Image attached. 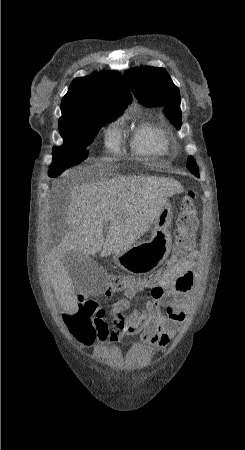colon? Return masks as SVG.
Listing matches in <instances>:
<instances>
[{
	"mask_svg": "<svg viewBox=\"0 0 245 450\" xmlns=\"http://www.w3.org/2000/svg\"><path fill=\"white\" fill-rule=\"evenodd\" d=\"M196 197V192L189 190L180 201V213L175 231L173 262L183 261L200 242L195 236L197 228ZM146 280L153 281L150 277ZM138 281L140 279L118 274L110 278L109 285L115 291H122L135 287ZM158 287L160 286L158 285ZM163 291V288L160 287L159 292L162 293ZM79 298L82 302L78 304L75 313L65 319V326L68 332L77 340L92 341L96 336L95 326L100 323L105 311L93 299H89L82 294H79Z\"/></svg>",
	"mask_w": 245,
	"mask_h": 450,
	"instance_id": "colon-1",
	"label": "colon"
}]
</instances>
